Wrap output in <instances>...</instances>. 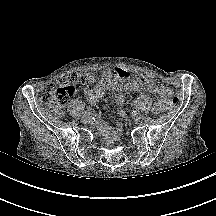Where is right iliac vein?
I'll use <instances>...</instances> for the list:
<instances>
[{"label":"right iliac vein","instance_id":"right-iliac-vein-1","mask_svg":"<svg viewBox=\"0 0 216 216\" xmlns=\"http://www.w3.org/2000/svg\"><path fill=\"white\" fill-rule=\"evenodd\" d=\"M90 120V117L87 114L82 115V121L88 122Z\"/></svg>","mask_w":216,"mask_h":216}]
</instances>
